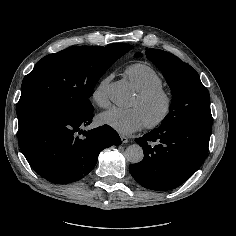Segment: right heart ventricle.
<instances>
[{"label":"right heart ventricle","instance_id":"right-heart-ventricle-1","mask_svg":"<svg viewBox=\"0 0 236 236\" xmlns=\"http://www.w3.org/2000/svg\"><path fill=\"white\" fill-rule=\"evenodd\" d=\"M125 74L137 92H147L163 86L161 75L150 65L143 62L128 65Z\"/></svg>","mask_w":236,"mask_h":236}]
</instances>
